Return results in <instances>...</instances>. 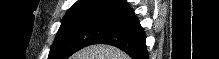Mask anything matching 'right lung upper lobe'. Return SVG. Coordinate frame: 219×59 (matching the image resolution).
Instances as JSON below:
<instances>
[{
  "label": "right lung upper lobe",
  "mask_w": 219,
  "mask_h": 59,
  "mask_svg": "<svg viewBox=\"0 0 219 59\" xmlns=\"http://www.w3.org/2000/svg\"><path fill=\"white\" fill-rule=\"evenodd\" d=\"M125 0H78L68 11L65 16L87 11H113Z\"/></svg>",
  "instance_id": "obj_1"
}]
</instances>
